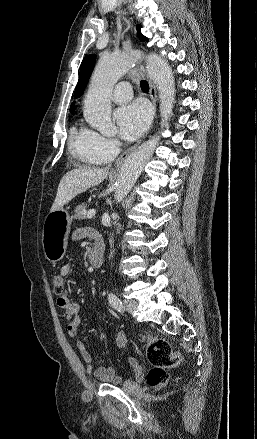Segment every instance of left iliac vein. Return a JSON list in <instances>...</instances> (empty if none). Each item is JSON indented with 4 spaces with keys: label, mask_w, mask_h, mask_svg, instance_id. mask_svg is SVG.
I'll return each mask as SVG.
<instances>
[{
    "label": "left iliac vein",
    "mask_w": 257,
    "mask_h": 439,
    "mask_svg": "<svg viewBox=\"0 0 257 439\" xmlns=\"http://www.w3.org/2000/svg\"><path fill=\"white\" fill-rule=\"evenodd\" d=\"M137 307L138 302L136 300L128 299L124 301V308L130 313L136 311Z\"/></svg>",
    "instance_id": "obj_1"
}]
</instances>
